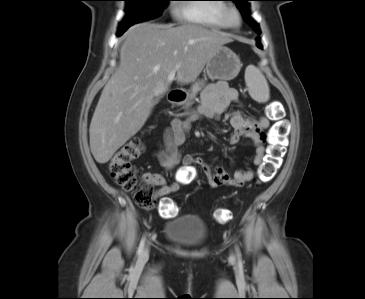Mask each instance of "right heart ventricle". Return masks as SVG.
Returning <instances> with one entry per match:
<instances>
[{"label":"right heart ventricle","instance_id":"e07e8e85","mask_svg":"<svg viewBox=\"0 0 365 299\" xmlns=\"http://www.w3.org/2000/svg\"><path fill=\"white\" fill-rule=\"evenodd\" d=\"M193 2L182 5L178 17L187 23L213 29L225 28L222 22V12L226 6L224 0H189Z\"/></svg>","mask_w":365,"mask_h":299}]
</instances>
